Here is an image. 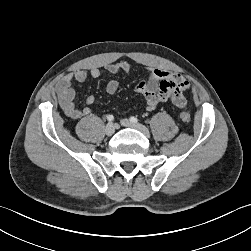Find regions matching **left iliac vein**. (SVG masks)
<instances>
[{"label": "left iliac vein", "instance_id": "obj_1", "mask_svg": "<svg viewBox=\"0 0 251 251\" xmlns=\"http://www.w3.org/2000/svg\"><path fill=\"white\" fill-rule=\"evenodd\" d=\"M121 125H123L124 127L137 129L141 133H143L146 137H150L149 130L144 125H142V124L133 123V122H131L128 119H122L121 120Z\"/></svg>", "mask_w": 251, "mask_h": 251}]
</instances>
